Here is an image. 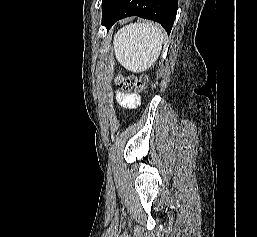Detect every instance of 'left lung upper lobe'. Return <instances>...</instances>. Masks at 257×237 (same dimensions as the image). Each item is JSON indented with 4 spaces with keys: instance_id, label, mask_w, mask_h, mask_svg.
I'll return each instance as SVG.
<instances>
[{
    "instance_id": "5c2ea615",
    "label": "left lung upper lobe",
    "mask_w": 257,
    "mask_h": 237,
    "mask_svg": "<svg viewBox=\"0 0 257 237\" xmlns=\"http://www.w3.org/2000/svg\"><path fill=\"white\" fill-rule=\"evenodd\" d=\"M109 0H102V8L106 5Z\"/></svg>"
}]
</instances>
